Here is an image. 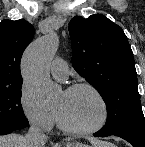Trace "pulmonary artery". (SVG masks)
Wrapping results in <instances>:
<instances>
[{"instance_id": "pulmonary-artery-1", "label": "pulmonary artery", "mask_w": 145, "mask_h": 147, "mask_svg": "<svg viewBox=\"0 0 145 147\" xmlns=\"http://www.w3.org/2000/svg\"><path fill=\"white\" fill-rule=\"evenodd\" d=\"M51 73L54 77L58 79H65L68 74V65L61 58H55L50 66Z\"/></svg>"}]
</instances>
